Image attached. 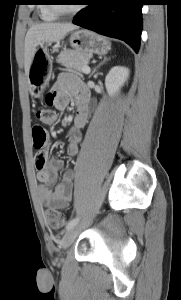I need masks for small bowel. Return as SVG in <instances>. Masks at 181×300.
<instances>
[{
    "mask_svg": "<svg viewBox=\"0 0 181 300\" xmlns=\"http://www.w3.org/2000/svg\"><path fill=\"white\" fill-rule=\"evenodd\" d=\"M50 95L53 96L52 105L59 110L67 107L70 97L76 101V113L68 133L67 145L68 156L75 157L80 149V130L87 121L88 91L78 77L70 73H61ZM41 154L45 157V164L38 168L37 173V179L40 182L38 188L40 201L46 207L66 208L72 199L74 171L67 169L57 182L58 174L64 168L63 161L57 157L47 160L46 150H43Z\"/></svg>",
    "mask_w": 181,
    "mask_h": 300,
    "instance_id": "1",
    "label": "small bowel"
}]
</instances>
